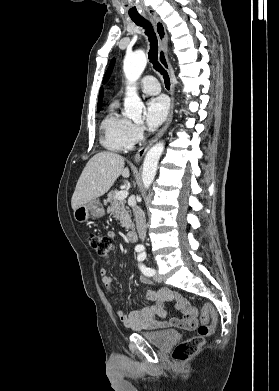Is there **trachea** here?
I'll return each instance as SVG.
<instances>
[{
    "label": "trachea",
    "instance_id": "1",
    "mask_svg": "<svg viewBox=\"0 0 279 391\" xmlns=\"http://www.w3.org/2000/svg\"><path fill=\"white\" fill-rule=\"evenodd\" d=\"M132 20L135 22L136 25L141 26L145 29V33L148 36L150 42V50L148 53L150 62L153 64L154 69L163 75L165 87L169 89L170 79L167 71L161 66L158 61V40L151 23L144 18H132Z\"/></svg>",
    "mask_w": 279,
    "mask_h": 391
}]
</instances>
